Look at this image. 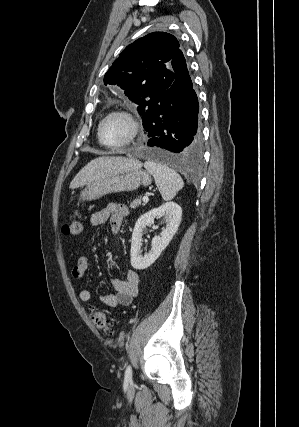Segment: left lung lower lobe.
<instances>
[{"instance_id":"0a47b994","label":"left lung lower lobe","mask_w":299,"mask_h":427,"mask_svg":"<svg viewBox=\"0 0 299 427\" xmlns=\"http://www.w3.org/2000/svg\"><path fill=\"white\" fill-rule=\"evenodd\" d=\"M175 78L160 99L142 115L150 139L147 153L154 159L170 163L197 158L201 151L198 125L199 103L180 48L172 59Z\"/></svg>"}]
</instances>
